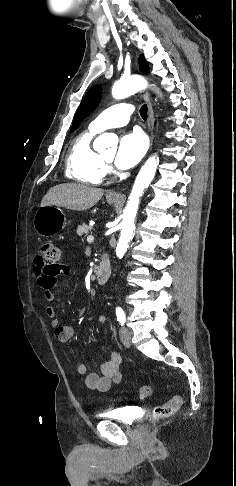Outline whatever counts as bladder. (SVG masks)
<instances>
[{"label": "bladder", "mask_w": 236, "mask_h": 486, "mask_svg": "<svg viewBox=\"0 0 236 486\" xmlns=\"http://www.w3.org/2000/svg\"><path fill=\"white\" fill-rule=\"evenodd\" d=\"M102 419L130 425L136 420V410L133 407H119L109 411L102 412L99 415Z\"/></svg>", "instance_id": "bladder-1"}]
</instances>
